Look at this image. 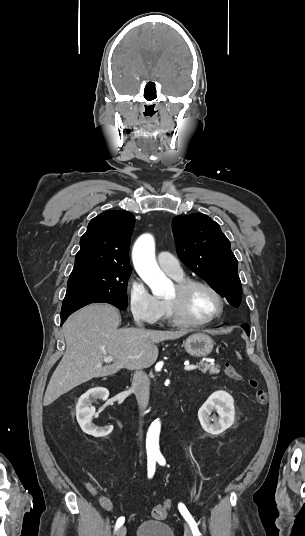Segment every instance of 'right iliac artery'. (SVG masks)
<instances>
[{
	"mask_svg": "<svg viewBox=\"0 0 305 536\" xmlns=\"http://www.w3.org/2000/svg\"><path fill=\"white\" fill-rule=\"evenodd\" d=\"M147 466H148L147 467L148 468V478H152L154 473H155V468H156V457L148 458ZM124 521H125L124 517H119L117 522H116L115 530H117L119 527H121L123 525Z\"/></svg>",
	"mask_w": 305,
	"mask_h": 536,
	"instance_id": "1",
	"label": "right iliac artery"
}]
</instances>
